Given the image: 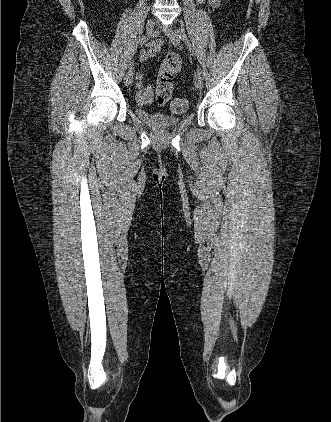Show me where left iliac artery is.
<instances>
[{"instance_id": "1", "label": "left iliac artery", "mask_w": 331, "mask_h": 422, "mask_svg": "<svg viewBox=\"0 0 331 422\" xmlns=\"http://www.w3.org/2000/svg\"><path fill=\"white\" fill-rule=\"evenodd\" d=\"M178 31L180 32L181 38L186 43V45H187L188 49L190 50V52H192V54H194V48L191 45V43L189 42L188 37H187V34L185 33L184 29L183 28H180ZM197 72L202 75V70H201L200 67H197Z\"/></svg>"}]
</instances>
